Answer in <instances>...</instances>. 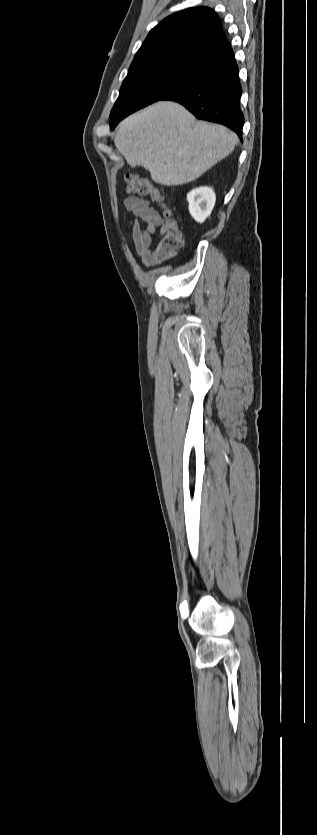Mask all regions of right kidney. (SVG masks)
<instances>
[{"instance_id": "obj_1", "label": "right kidney", "mask_w": 317, "mask_h": 835, "mask_svg": "<svg viewBox=\"0 0 317 835\" xmlns=\"http://www.w3.org/2000/svg\"><path fill=\"white\" fill-rule=\"evenodd\" d=\"M187 201L191 216L203 223L214 208L216 196L211 187L202 186L191 190L187 194Z\"/></svg>"}]
</instances>
